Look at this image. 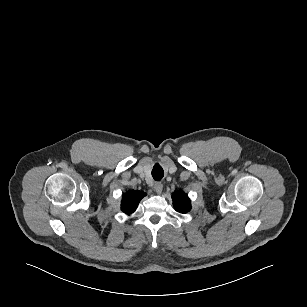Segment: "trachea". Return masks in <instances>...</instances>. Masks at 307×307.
I'll return each mask as SVG.
<instances>
[{"label": "trachea", "mask_w": 307, "mask_h": 307, "mask_svg": "<svg viewBox=\"0 0 307 307\" xmlns=\"http://www.w3.org/2000/svg\"><path fill=\"white\" fill-rule=\"evenodd\" d=\"M164 176V171L159 164H156L152 169V177L156 181H160Z\"/></svg>", "instance_id": "trachea-1"}]
</instances>
